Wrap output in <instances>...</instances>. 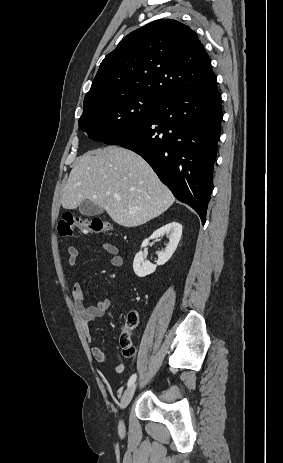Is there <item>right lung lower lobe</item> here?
Returning a JSON list of instances; mask_svg holds the SVG:
<instances>
[{"mask_svg":"<svg viewBox=\"0 0 283 463\" xmlns=\"http://www.w3.org/2000/svg\"><path fill=\"white\" fill-rule=\"evenodd\" d=\"M222 121L217 80L158 102L145 121L104 143L143 157L174 196L206 221Z\"/></svg>","mask_w":283,"mask_h":463,"instance_id":"right-lung-lower-lobe-1","label":"right lung lower lobe"}]
</instances>
